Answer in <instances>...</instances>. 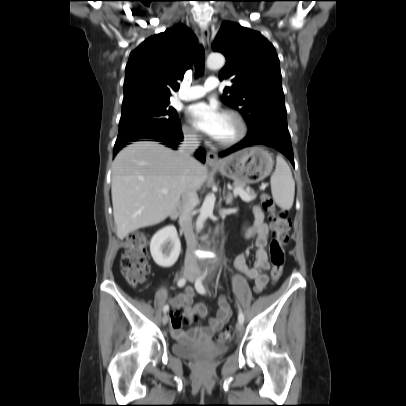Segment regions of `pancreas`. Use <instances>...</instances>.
Here are the masks:
<instances>
[{"mask_svg": "<svg viewBox=\"0 0 406 406\" xmlns=\"http://www.w3.org/2000/svg\"><path fill=\"white\" fill-rule=\"evenodd\" d=\"M234 186H235V188H241V189H243V190L248 194L249 199L246 200V199L242 198L243 201H245V202H250L251 200H253V199L256 198V194H255L253 191H251V190L248 191V190H245V189H244V188H245V185H242V184H234Z\"/></svg>", "mask_w": 406, "mask_h": 406, "instance_id": "cf45deb5", "label": "pancreas"}]
</instances>
